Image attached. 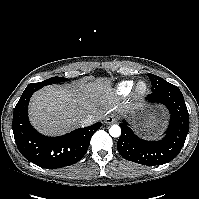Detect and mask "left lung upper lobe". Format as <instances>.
<instances>
[{
	"label": "left lung upper lobe",
	"instance_id": "obj_1",
	"mask_svg": "<svg viewBox=\"0 0 199 199\" xmlns=\"http://www.w3.org/2000/svg\"><path fill=\"white\" fill-rule=\"evenodd\" d=\"M151 84H152V92H159L164 91L172 88H176L177 86L170 84L166 80L162 79L159 76H156L154 74H148Z\"/></svg>",
	"mask_w": 199,
	"mask_h": 199
}]
</instances>
